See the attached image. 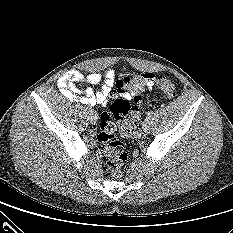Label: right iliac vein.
Instances as JSON below:
<instances>
[{
	"label": "right iliac vein",
	"mask_w": 233,
	"mask_h": 233,
	"mask_svg": "<svg viewBox=\"0 0 233 233\" xmlns=\"http://www.w3.org/2000/svg\"><path fill=\"white\" fill-rule=\"evenodd\" d=\"M89 119H90L91 123H96V121H97V115L92 112V113H90Z\"/></svg>",
	"instance_id": "63e3f726"
}]
</instances>
